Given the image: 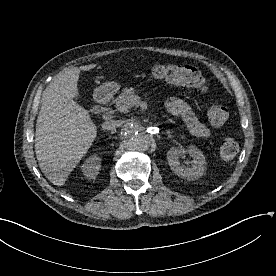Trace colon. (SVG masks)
Here are the masks:
<instances>
[{
	"mask_svg": "<svg viewBox=\"0 0 276 276\" xmlns=\"http://www.w3.org/2000/svg\"><path fill=\"white\" fill-rule=\"evenodd\" d=\"M155 78L167 83L191 87L200 91L207 89L205 78L198 68L186 64L156 65L152 69ZM229 113L226 106L214 102L208 106L207 118L214 126L223 125L228 119ZM239 151V143L232 137H224L221 140L219 153L225 160L234 158Z\"/></svg>",
	"mask_w": 276,
	"mask_h": 276,
	"instance_id": "5ec220e1",
	"label": "colon"
}]
</instances>
